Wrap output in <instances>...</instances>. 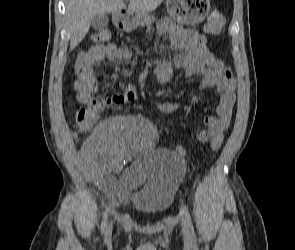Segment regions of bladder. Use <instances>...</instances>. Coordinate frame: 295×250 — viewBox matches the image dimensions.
Returning a JSON list of instances; mask_svg holds the SVG:
<instances>
[{
  "mask_svg": "<svg viewBox=\"0 0 295 250\" xmlns=\"http://www.w3.org/2000/svg\"><path fill=\"white\" fill-rule=\"evenodd\" d=\"M147 161H150V166H146L150 179L135 190L131 205L144 214L158 215L172 204L185 172V162L166 149L154 151Z\"/></svg>",
  "mask_w": 295,
  "mask_h": 250,
  "instance_id": "obj_1",
  "label": "bladder"
}]
</instances>
